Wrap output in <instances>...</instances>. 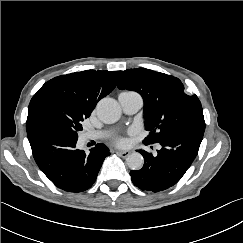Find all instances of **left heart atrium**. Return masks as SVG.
<instances>
[{"mask_svg":"<svg viewBox=\"0 0 243 243\" xmlns=\"http://www.w3.org/2000/svg\"><path fill=\"white\" fill-rule=\"evenodd\" d=\"M112 141L118 146H123L126 143V140L121 136H114Z\"/></svg>","mask_w":243,"mask_h":243,"instance_id":"1","label":"left heart atrium"}]
</instances>
